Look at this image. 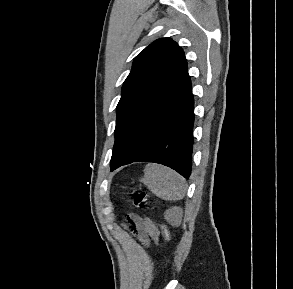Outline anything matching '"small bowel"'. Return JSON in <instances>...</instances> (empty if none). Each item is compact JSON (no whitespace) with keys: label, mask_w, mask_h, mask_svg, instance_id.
<instances>
[{"label":"small bowel","mask_w":293,"mask_h":289,"mask_svg":"<svg viewBox=\"0 0 293 289\" xmlns=\"http://www.w3.org/2000/svg\"><path fill=\"white\" fill-rule=\"evenodd\" d=\"M129 229L131 233L145 246L158 244L159 230L148 218L136 214L129 215Z\"/></svg>","instance_id":"1"}]
</instances>
